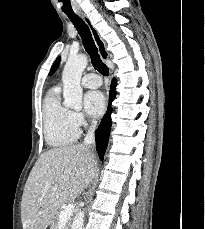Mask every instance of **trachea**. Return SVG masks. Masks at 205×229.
I'll return each instance as SVG.
<instances>
[{"instance_id": "1", "label": "trachea", "mask_w": 205, "mask_h": 229, "mask_svg": "<svg viewBox=\"0 0 205 229\" xmlns=\"http://www.w3.org/2000/svg\"><path fill=\"white\" fill-rule=\"evenodd\" d=\"M67 16L77 29L82 39L84 48L86 52L90 55L93 67L101 74L108 76L109 70L107 66L102 62L100 55L98 54L97 47L87 24L77 15L67 14Z\"/></svg>"}]
</instances>
